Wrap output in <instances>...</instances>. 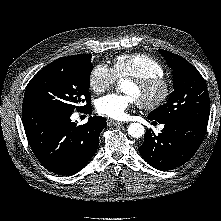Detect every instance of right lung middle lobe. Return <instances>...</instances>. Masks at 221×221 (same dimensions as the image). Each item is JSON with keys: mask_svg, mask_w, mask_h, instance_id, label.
<instances>
[{"mask_svg": "<svg viewBox=\"0 0 221 221\" xmlns=\"http://www.w3.org/2000/svg\"><path fill=\"white\" fill-rule=\"evenodd\" d=\"M91 58L90 54L68 56L44 67L28 83L22 109L39 107L71 113L89 109Z\"/></svg>", "mask_w": 221, "mask_h": 221, "instance_id": "right-lung-middle-lobe-1", "label": "right lung middle lobe"}]
</instances>
